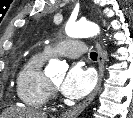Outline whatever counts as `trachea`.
I'll use <instances>...</instances> for the list:
<instances>
[{
    "label": "trachea",
    "instance_id": "obj_1",
    "mask_svg": "<svg viewBox=\"0 0 133 118\" xmlns=\"http://www.w3.org/2000/svg\"><path fill=\"white\" fill-rule=\"evenodd\" d=\"M90 57H91L92 60L96 61L97 60V53L96 52H91Z\"/></svg>",
    "mask_w": 133,
    "mask_h": 118
}]
</instances>
